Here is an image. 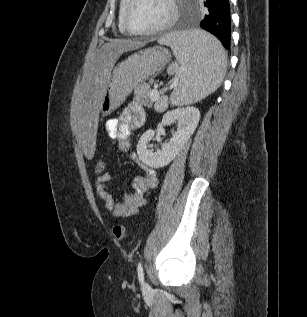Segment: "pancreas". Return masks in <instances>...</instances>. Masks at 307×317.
<instances>
[{
    "mask_svg": "<svg viewBox=\"0 0 307 317\" xmlns=\"http://www.w3.org/2000/svg\"><path fill=\"white\" fill-rule=\"evenodd\" d=\"M150 92L151 90L149 89L147 85H140L135 89L134 93L136 95V98L144 99L143 100L144 104L147 105L148 107H152L154 101L151 98L149 101Z\"/></svg>",
    "mask_w": 307,
    "mask_h": 317,
    "instance_id": "cf45deb5",
    "label": "pancreas"
}]
</instances>
